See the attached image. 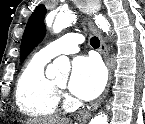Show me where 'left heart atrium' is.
Segmentation results:
<instances>
[{
	"mask_svg": "<svg viewBox=\"0 0 145 124\" xmlns=\"http://www.w3.org/2000/svg\"><path fill=\"white\" fill-rule=\"evenodd\" d=\"M106 74L100 61L95 57H77L72 64L68 87L77 97L91 100L103 90Z\"/></svg>",
	"mask_w": 145,
	"mask_h": 124,
	"instance_id": "39dd6f15",
	"label": "left heart atrium"
}]
</instances>
